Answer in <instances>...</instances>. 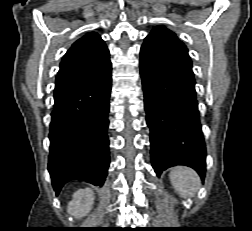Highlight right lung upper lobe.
Listing matches in <instances>:
<instances>
[{"label": "right lung upper lobe", "instance_id": "1", "mask_svg": "<svg viewBox=\"0 0 252 231\" xmlns=\"http://www.w3.org/2000/svg\"><path fill=\"white\" fill-rule=\"evenodd\" d=\"M111 68L104 41L95 32L87 33L64 55L55 81L54 98L103 77Z\"/></svg>", "mask_w": 252, "mask_h": 231}]
</instances>
